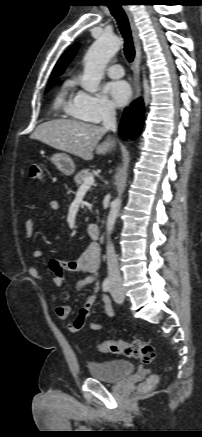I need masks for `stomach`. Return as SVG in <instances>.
I'll return each instance as SVG.
<instances>
[{"mask_svg":"<svg viewBox=\"0 0 202 437\" xmlns=\"http://www.w3.org/2000/svg\"><path fill=\"white\" fill-rule=\"evenodd\" d=\"M50 161L66 176H71L75 171L76 166L73 160L65 153L53 154L50 157Z\"/></svg>","mask_w":202,"mask_h":437,"instance_id":"1","label":"stomach"}]
</instances>
